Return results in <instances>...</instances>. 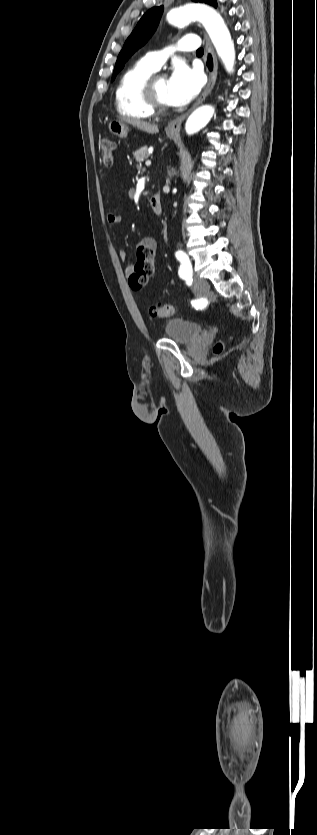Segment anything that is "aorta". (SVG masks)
<instances>
[{
  "instance_id": "1",
  "label": "aorta",
  "mask_w": 317,
  "mask_h": 835,
  "mask_svg": "<svg viewBox=\"0 0 317 835\" xmlns=\"http://www.w3.org/2000/svg\"><path fill=\"white\" fill-rule=\"evenodd\" d=\"M166 20L173 25H187L197 20L205 27L218 56L221 58L228 73L233 72L235 63V49L230 32L218 12L201 4H186L168 10L165 14ZM215 108L205 105L197 108L188 117L185 130L188 135L199 132L211 120Z\"/></svg>"
}]
</instances>
